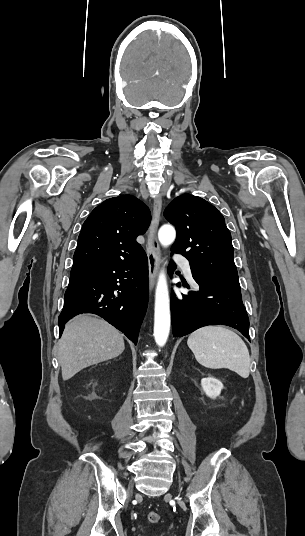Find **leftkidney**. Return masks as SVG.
Returning a JSON list of instances; mask_svg holds the SVG:
<instances>
[{
    "instance_id": "1",
    "label": "left kidney",
    "mask_w": 305,
    "mask_h": 536,
    "mask_svg": "<svg viewBox=\"0 0 305 536\" xmlns=\"http://www.w3.org/2000/svg\"><path fill=\"white\" fill-rule=\"evenodd\" d=\"M201 386L209 398H217L221 390H223L222 382H220V380H216V378H213V376H209V378H202Z\"/></svg>"
}]
</instances>
